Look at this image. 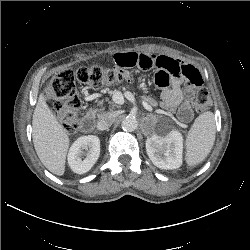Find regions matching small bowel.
Returning a JSON list of instances; mask_svg holds the SVG:
<instances>
[{
	"mask_svg": "<svg viewBox=\"0 0 250 250\" xmlns=\"http://www.w3.org/2000/svg\"><path fill=\"white\" fill-rule=\"evenodd\" d=\"M114 65L117 68L136 66L144 70L155 69V84L160 89L163 108L176 112L183 123L192 119L190 102L203 83L202 75L195 66L168 56L135 52L116 54Z\"/></svg>",
	"mask_w": 250,
	"mask_h": 250,
	"instance_id": "1",
	"label": "small bowel"
}]
</instances>
